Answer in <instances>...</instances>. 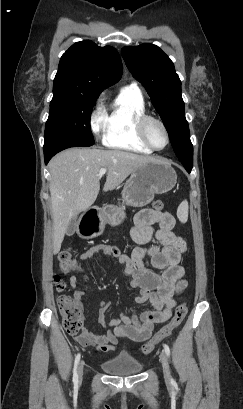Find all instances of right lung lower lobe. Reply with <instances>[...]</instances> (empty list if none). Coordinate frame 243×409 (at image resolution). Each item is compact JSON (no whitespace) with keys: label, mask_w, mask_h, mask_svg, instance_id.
Listing matches in <instances>:
<instances>
[{"label":"right lung lower lobe","mask_w":243,"mask_h":409,"mask_svg":"<svg viewBox=\"0 0 243 409\" xmlns=\"http://www.w3.org/2000/svg\"><path fill=\"white\" fill-rule=\"evenodd\" d=\"M77 146L87 147V146H84V145H82L80 143L64 141V140L55 141L53 143H50V144L44 146L43 149H44L45 164H47L49 162V160L56 153L66 149V148L77 147Z\"/></svg>","instance_id":"98d812e1"}]
</instances>
